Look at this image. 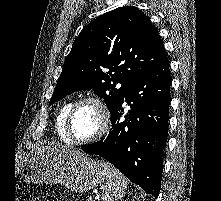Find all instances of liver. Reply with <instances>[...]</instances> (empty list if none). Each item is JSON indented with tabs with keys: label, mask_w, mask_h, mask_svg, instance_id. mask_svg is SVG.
<instances>
[{
	"label": "liver",
	"mask_w": 221,
	"mask_h": 201,
	"mask_svg": "<svg viewBox=\"0 0 221 201\" xmlns=\"http://www.w3.org/2000/svg\"><path fill=\"white\" fill-rule=\"evenodd\" d=\"M46 148L57 151V152L71 151V149H69L67 146H63V145H60V144H57L56 146H52V147H46Z\"/></svg>",
	"instance_id": "obj_1"
}]
</instances>
